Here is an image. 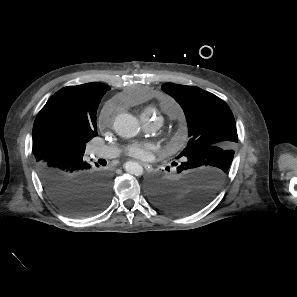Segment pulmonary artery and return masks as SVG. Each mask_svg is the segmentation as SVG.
Segmentation results:
<instances>
[{"mask_svg":"<svg viewBox=\"0 0 297 297\" xmlns=\"http://www.w3.org/2000/svg\"><path fill=\"white\" fill-rule=\"evenodd\" d=\"M174 110L171 112L173 113ZM142 120L145 122L146 127L150 130H155L159 126V121H150L146 117H143ZM92 153L99 158H113L116 157L119 153V150L116 147L111 146H93Z\"/></svg>","mask_w":297,"mask_h":297,"instance_id":"e3ab8cb5","label":"pulmonary artery"}]
</instances>
